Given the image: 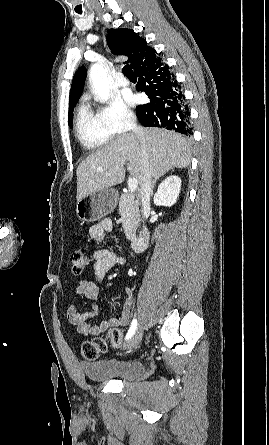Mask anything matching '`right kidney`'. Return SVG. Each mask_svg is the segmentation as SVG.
I'll use <instances>...</instances> for the list:
<instances>
[{
    "label": "right kidney",
    "instance_id": "ca27d5eb",
    "mask_svg": "<svg viewBox=\"0 0 269 445\" xmlns=\"http://www.w3.org/2000/svg\"><path fill=\"white\" fill-rule=\"evenodd\" d=\"M181 189V179L176 175L167 177L160 183L157 192L154 195V204L156 206H172L176 203Z\"/></svg>",
    "mask_w": 269,
    "mask_h": 445
}]
</instances>
